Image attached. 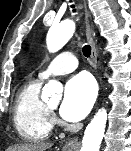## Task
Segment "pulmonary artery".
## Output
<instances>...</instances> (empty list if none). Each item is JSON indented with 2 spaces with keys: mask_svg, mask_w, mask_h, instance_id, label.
Returning a JSON list of instances; mask_svg holds the SVG:
<instances>
[{
  "mask_svg": "<svg viewBox=\"0 0 131 151\" xmlns=\"http://www.w3.org/2000/svg\"><path fill=\"white\" fill-rule=\"evenodd\" d=\"M78 65L77 58L71 52H63L57 55L48 66L39 73L41 79L54 75H64L72 72Z\"/></svg>",
  "mask_w": 131,
  "mask_h": 151,
  "instance_id": "e3ab8cb5",
  "label": "pulmonary artery"
}]
</instances>
